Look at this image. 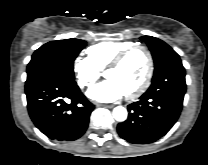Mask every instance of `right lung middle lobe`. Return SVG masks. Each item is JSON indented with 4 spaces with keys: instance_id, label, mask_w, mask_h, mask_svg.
Instances as JSON below:
<instances>
[{
    "instance_id": "obj_1",
    "label": "right lung middle lobe",
    "mask_w": 208,
    "mask_h": 165,
    "mask_svg": "<svg viewBox=\"0 0 208 165\" xmlns=\"http://www.w3.org/2000/svg\"><path fill=\"white\" fill-rule=\"evenodd\" d=\"M85 46L86 42L80 39L51 41L41 46L27 66L26 83L46 74L74 80L73 62Z\"/></svg>"
}]
</instances>
